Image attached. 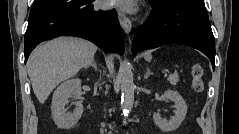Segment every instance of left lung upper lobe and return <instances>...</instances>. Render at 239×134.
Masks as SVG:
<instances>
[{
  "instance_id": "obj_1",
  "label": "left lung upper lobe",
  "mask_w": 239,
  "mask_h": 134,
  "mask_svg": "<svg viewBox=\"0 0 239 134\" xmlns=\"http://www.w3.org/2000/svg\"><path fill=\"white\" fill-rule=\"evenodd\" d=\"M150 1L157 5H161V4L168 2L169 0H150Z\"/></svg>"
}]
</instances>
